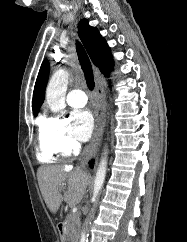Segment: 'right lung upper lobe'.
Masks as SVG:
<instances>
[{
	"mask_svg": "<svg viewBox=\"0 0 187 242\" xmlns=\"http://www.w3.org/2000/svg\"><path fill=\"white\" fill-rule=\"evenodd\" d=\"M78 34L93 64L100 69L101 73L109 77L114 64L106 40L100 35L96 27L89 25L87 19H82L79 22ZM49 71L50 65L48 60L45 59L41 65L33 93L32 108L34 115H37L39 108L44 102Z\"/></svg>",
	"mask_w": 187,
	"mask_h": 242,
	"instance_id": "1",
	"label": "right lung upper lobe"
}]
</instances>
